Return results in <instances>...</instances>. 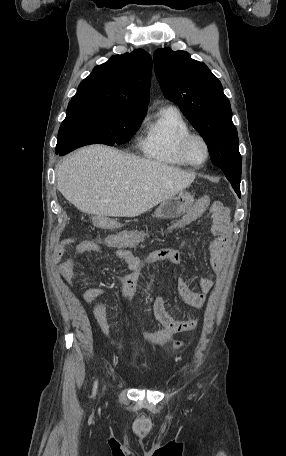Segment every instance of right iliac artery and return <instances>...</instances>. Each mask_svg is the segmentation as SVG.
<instances>
[{"mask_svg":"<svg viewBox=\"0 0 286 456\" xmlns=\"http://www.w3.org/2000/svg\"><path fill=\"white\" fill-rule=\"evenodd\" d=\"M96 389H97V381H96L95 384H94L93 395H95Z\"/></svg>","mask_w":286,"mask_h":456,"instance_id":"right-iliac-artery-1","label":"right iliac artery"}]
</instances>
